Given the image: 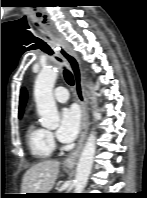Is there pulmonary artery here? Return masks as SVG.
<instances>
[{"label":"pulmonary artery","mask_w":147,"mask_h":198,"mask_svg":"<svg viewBox=\"0 0 147 198\" xmlns=\"http://www.w3.org/2000/svg\"><path fill=\"white\" fill-rule=\"evenodd\" d=\"M53 95L55 100L61 103L66 102L69 98L68 90L62 86L57 87Z\"/></svg>","instance_id":"obj_1"}]
</instances>
